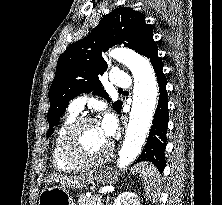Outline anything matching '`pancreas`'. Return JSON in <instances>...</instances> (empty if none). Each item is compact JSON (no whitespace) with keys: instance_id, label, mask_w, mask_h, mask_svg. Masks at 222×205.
<instances>
[{"instance_id":"cf45deb5","label":"pancreas","mask_w":222,"mask_h":205,"mask_svg":"<svg viewBox=\"0 0 222 205\" xmlns=\"http://www.w3.org/2000/svg\"><path fill=\"white\" fill-rule=\"evenodd\" d=\"M78 205H101L100 196H80L78 199Z\"/></svg>"}]
</instances>
